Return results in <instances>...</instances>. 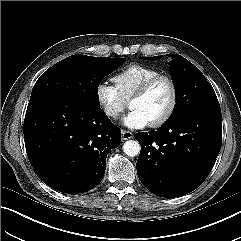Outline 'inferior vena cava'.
<instances>
[{"label": "inferior vena cava", "instance_id": "1", "mask_svg": "<svg viewBox=\"0 0 241 241\" xmlns=\"http://www.w3.org/2000/svg\"><path fill=\"white\" fill-rule=\"evenodd\" d=\"M109 115H111V116L115 117V116H117V113H116V112H114V111H111V112L109 113Z\"/></svg>", "mask_w": 241, "mask_h": 241}]
</instances>
